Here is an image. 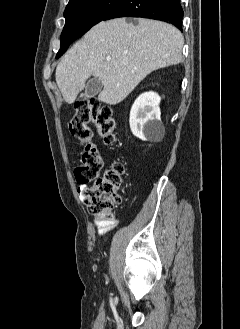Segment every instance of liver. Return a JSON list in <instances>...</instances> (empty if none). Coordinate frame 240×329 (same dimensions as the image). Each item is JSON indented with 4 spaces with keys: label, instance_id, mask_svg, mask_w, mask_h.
<instances>
[{
    "label": "liver",
    "instance_id": "6515ba94",
    "mask_svg": "<svg viewBox=\"0 0 240 329\" xmlns=\"http://www.w3.org/2000/svg\"><path fill=\"white\" fill-rule=\"evenodd\" d=\"M137 21L100 22L63 56L55 77L65 102L73 103L93 76L104 86L99 101L118 104L151 72L181 62L184 38L177 28L156 20Z\"/></svg>",
    "mask_w": 240,
    "mask_h": 329
}]
</instances>
